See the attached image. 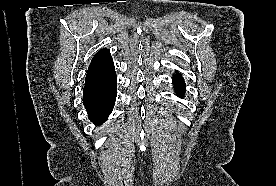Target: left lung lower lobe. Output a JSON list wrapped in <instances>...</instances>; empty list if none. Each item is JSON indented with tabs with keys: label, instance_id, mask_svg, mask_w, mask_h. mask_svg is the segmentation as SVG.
Here are the masks:
<instances>
[{
	"label": "left lung lower lobe",
	"instance_id": "1",
	"mask_svg": "<svg viewBox=\"0 0 276 186\" xmlns=\"http://www.w3.org/2000/svg\"><path fill=\"white\" fill-rule=\"evenodd\" d=\"M173 84H174V89L177 92H180L183 94V91L185 90V83L182 77H180L178 74L173 78Z\"/></svg>",
	"mask_w": 276,
	"mask_h": 186
}]
</instances>
